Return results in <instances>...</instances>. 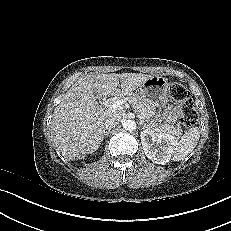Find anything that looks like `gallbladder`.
Here are the masks:
<instances>
[{"mask_svg":"<svg viewBox=\"0 0 231 231\" xmlns=\"http://www.w3.org/2000/svg\"><path fill=\"white\" fill-rule=\"evenodd\" d=\"M96 99H100V95L98 93H95Z\"/></svg>","mask_w":231,"mask_h":231,"instance_id":"1","label":"gallbladder"}]
</instances>
